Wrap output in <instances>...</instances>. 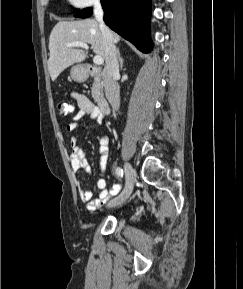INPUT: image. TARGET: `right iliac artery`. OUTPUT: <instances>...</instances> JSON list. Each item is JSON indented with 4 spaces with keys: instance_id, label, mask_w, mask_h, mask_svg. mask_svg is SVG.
<instances>
[{
    "instance_id": "right-iliac-artery-1",
    "label": "right iliac artery",
    "mask_w": 243,
    "mask_h": 289,
    "mask_svg": "<svg viewBox=\"0 0 243 289\" xmlns=\"http://www.w3.org/2000/svg\"><path fill=\"white\" fill-rule=\"evenodd\" d=\"M116 175L119 178H123L124 172H123V170L120 167L116 168Z\"/></svg>"
}]
</instances>
